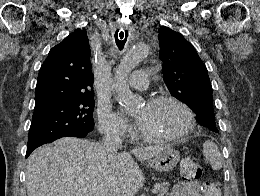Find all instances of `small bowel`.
<instances>
[{
  "instance_id": "c3829d8e",
  "label": "small bowel",
  "mask_w": 260,
  "mask_h": 196,
  "mask_svg": "<svg viewBox=\"0 0 260 196\" xmlns=\"http://www.w3.org/2000/svg\"><path fill=\"white\" fill-rule=\"evenodd\" d=\"M206 184H201L198 180L194 181H180L172 189L170 196H207L205 192Z\"/></svg>"
}]
</instances>
